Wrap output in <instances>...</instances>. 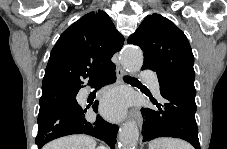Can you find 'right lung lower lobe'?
Segmentation results:
<instances>
[{"label":"right lung lower lobe","instance_id":"right-lung-lower-lobe-1","mask_svg":"<svg viewBox=\"0 0 227 149\" xmlns=\"http://www.w3.org/2000/svg\"><path fill=\"white\" fill-rule=\"evenodd\" d=\"M116 80L115 65L110 66L101 77L93 83L92 87L101 88ZM98 102L93 105L97 112ZM84 110L78 103L74 105L59 104L38 115V134L35 143L38 149L56 138L71 134H87L106 142L111 149L115 148L118 127L107 123L97 116L94 123L84 118Z\"/></svg>","mask_w":227,"mask_h":149}]
</instances>
